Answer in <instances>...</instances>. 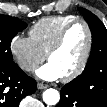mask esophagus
<instances>
[{
    "label": "esophagus",
    "mask_w": 107,
    "mask_h": 107,
    "mask_svg": "<svg viewBox=\"0 0 107 107\" xmlns=\"http://www.w3.org/2000/svg\"><path fill=\"white\" fill-rule=\"evenodd\" d=\"M47 87H48V85L43 84V83H38V84H37V88H38V89H46Z\"/></svg>",
    "instance_id": "obj_1"
}]
</instances>
